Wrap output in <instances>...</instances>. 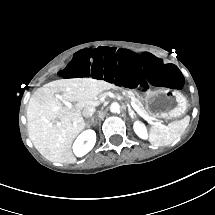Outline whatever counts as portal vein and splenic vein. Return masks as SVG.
I'll use <instances>...</instances> for the list:
<instances>
[{"mask_svg":"<svg viewBox=\"0 0 215 215\" xmlns=\"http://www.w3.org/2000/svg\"><path fill=\"white\" fill-rule=\"evenodd\" d=\"M59 99L62 100L63 103H65L66 105L68 104V102L65 101L62 96H59ZM67 106L71 107V104H69ZM131 106L138 113L139 116H141L145 120H148V118L146 117V115L140 110V108L134 102L131 103Z\"/></svg>","mask_w":215,"mask_h":215,"instance_id":"obj_1","label":"portal vein and splenic vein"}]
</instances>
